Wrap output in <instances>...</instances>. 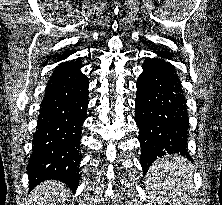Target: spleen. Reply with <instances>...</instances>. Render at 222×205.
I'll return each mask as SVG.
<instances>
[{"label": "spleen", "mask_w": 222, "mask_h": 205, "mask_svg": "<svg viewBox=\"0 0 222 205\" xmlns=\"http://www.w3.org/2000/svg\"><path fill=\"white\" fill-rule=\"evenodd\" d=\"M191 168L183 157L168 155L154 162L146 187L154 205H195Z\"/></svg>", "instance_id": "1"}]
</instances>
